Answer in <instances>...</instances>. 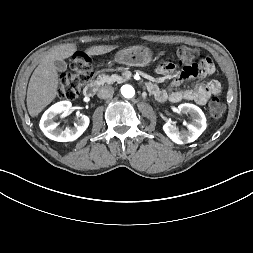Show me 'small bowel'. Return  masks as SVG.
<instances>
[{
	"instance_id": "1",
	"label": "small bowel",
	"mask_w": 253,
	"mask_h": 253,
	"mask_svg": "<svg viewBox=\"0 0 253 253\" xmlns=\"http://www.w3.org/2000/svg\"><path fill=\"white\" fill-rule=\"evenodd\" d=\"M177 67L173 63H164L155 70L157 75L166 76L175 73ZM181 74L177 76L170 84L169 88H160L155 79L148 81V90L160 102L170 101L178 103L183 100L193 101L198 105H205L211 96L220 93V85L214 80L198 84L193 89L173 90L191 78H197L199 75H205L213 71V65L210 59H197L193 63L184 64L180 68Z\"/></svg>"
}]
</instances>
